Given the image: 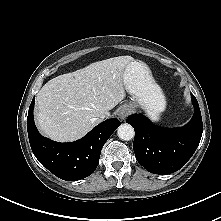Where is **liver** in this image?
I'll list each match as a JSON object with an SVG mask.
<instances>
[{
  "instance_id": "liver-1",
  "label": "liver",
  "mask_w": 221,
  "mask_h": 221,
  "mask_svg": "<svg viewBox=\"0 0 221 221\" xmlns=\"http://www.w3.org/2000/svg\"><path fill=\"white\" fill-rule=\"evenodd\" d=\"M132 61L131 56L109 58L48 81L37 94L38 128L59 142L86 135L126 97L123 77Z\"/></svg>"
}]
</instances>
